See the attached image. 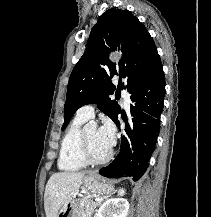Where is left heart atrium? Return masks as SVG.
Segmentation results:
<instances>
[{
	"mask_svg": "<svg viewBox=\"0 0 211 217\" xmlns=\"http://www.w3.org/2000/svg\"><path fill=\"white\" fill-rule=\"evenodd\" d=\"M98 135L107 147L111 148L113 146L115 140V130L110 122H105L104 125L98 129Z\"/></svg>",
	"mask_w": 211,
	"mask_h": 217,
	"instance_id": "left-heart-atrium-1",
	"label": "left heart atrium"
}]
</instances>
